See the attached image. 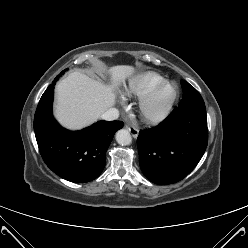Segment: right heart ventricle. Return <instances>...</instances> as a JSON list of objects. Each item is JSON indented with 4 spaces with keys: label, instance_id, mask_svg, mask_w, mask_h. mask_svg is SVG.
<instances>
[{
    "label": "right heart ventricle",
    "instance_id": "obj_1",
    "mask_svg": "<svg viewBox=\"0 0 248 248\" xmlns=\"http://www.w3.org/2000/svg\"><path fill=\"white\" fill-rule=\"evenodd\" d=\"M165 81L164 77L156 72H146L132 78L125 87L128 96L142 97L153 87Z\"/></svg>",
    "mask_w": 248,
    "mask_h": 248
}]
</instances>
